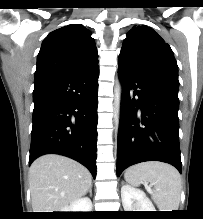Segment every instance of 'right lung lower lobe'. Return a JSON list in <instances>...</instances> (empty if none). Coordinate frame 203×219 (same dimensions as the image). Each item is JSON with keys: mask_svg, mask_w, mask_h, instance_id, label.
Masks as SVG:
<instances>
[{"mask_svg": "<svg viewBox=\"0 0 203 219\" xmlns=\"http://www.w3.org/2000/svg\"><path fill=\"white\" fill-rule=\"evenodd\" d=\"M98 65L36 76L29 165L55 153L86 166L96 177Z\"/></svg>", "mask_w": 203, "mask_h": 219, "instance_id": "obj_1", "label": "right lung lower lobe"}]
</instances>
